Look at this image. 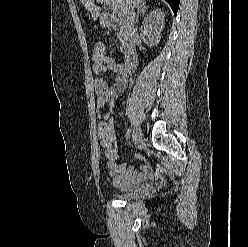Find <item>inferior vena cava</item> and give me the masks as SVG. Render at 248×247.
<instances>
[{
  "mask_svg": "<svg viewBox=\"0 0 248 247\" xmlns=\"http://www.w3.org/2000/svg\"><path fill=\"white\" fill-rule=\"evenodd\" d=\"M126 15L128 22L133 26L135 24V12L132 4L128 5Z\"/></svg>",
  "mask_w": 248,
  "mask_h": 247,
  "instance_id": "602c4592",
  "label": "inferior vena cava"
}]
</instances>
